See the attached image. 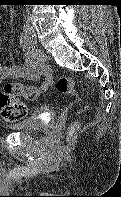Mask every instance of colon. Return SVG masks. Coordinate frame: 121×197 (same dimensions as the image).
I'll return each instance as SVG.
<instances>
[{"label": "colon", "instance_id": "1", "mask_svg": "<svg viewBox=\"0 0 121 197\" xmlns=\"http://www.w3.org/2000/svg\"><path fill=\"white\" fill-rule=\"evenodd\" d=\"M78 82L71 77L62 76L56 81V89L60 93L75 95ZM34 97V90L31 86H24L19 83H7L0 91V111L2 117L9 122L22 120L27 115V106L21 99L31 100ZM76 131L73 126L69 132V138Z\"/></svg>", "mask_w": 121, "mask_h": 197}]
</instances>
